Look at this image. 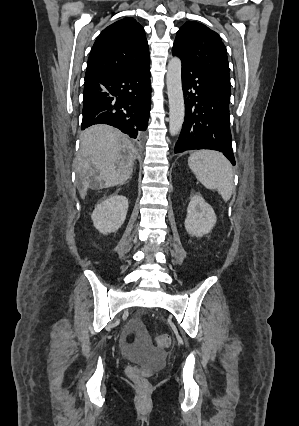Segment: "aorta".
Segmentation results:
<instances>
[{"instance_id": "762f6f07", "label": "aorta", "mask_w": 299, "mask_h": 426, "mask_svg": "<svg viewBox=\"0 0 299 426\" xmlns=\"http://www.w3.org/2000/svg\"><path fill=\"white\" fill-rule=\"evenodd\" d=\"M181 60L172 57L167 66L166 84L169 99V132L175 136L184 122L185 105L181 80Z\"/></svg>"}]
</instances>
